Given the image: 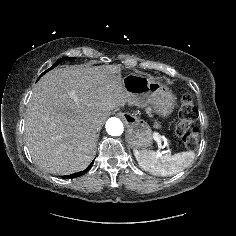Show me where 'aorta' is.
<instances>
[{
  "mask_svg": "<svg viewBox=\"0 0 236 236\" xmlns=\"http://www.w3.org/2000/svg\"><path fill=\"white\" fill-rule=\"evenodd\" d=\"M124 127L120 119L112 117L106 122V131L111 136H119L123 133Z\"/></svg>",
  "mask_w": 236,
  "mask_h": 236,
  "instance_id": "1",
  "label": "aorta"
}]
</instances>
